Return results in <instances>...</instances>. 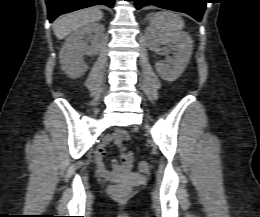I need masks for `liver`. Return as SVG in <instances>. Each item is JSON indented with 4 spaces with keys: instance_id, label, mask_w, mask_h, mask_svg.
I'll use <instances>...</instances> for the list:
<instances>
[{
    "instance_id": "6515ba94",
    "label": "liver",
    "mask_w": 260,
    "mask_h": 217,
    "mask_svg": "<svg viewBox=\"0 0 260 217\" xmlns=\"http://www.w3.org/2000/svg\"><path fill=\"white\" fill-rule=\"evenodd\" d=\"M102 17L103 13L98 8L82 9L57 18L53 23V31L58 39H63L78 28L99 21Z\"/></svg>"
}]
</instances>
